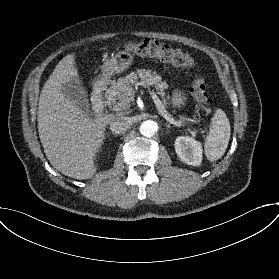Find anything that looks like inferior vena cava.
Instances as JSON below:
<instances>
[{"instance_id": "1", "label": "inferior vena cava", "mask_w": 279, "mask_h": 279, "mask_svg": "<svg viewBox=\"0 0 279 279\" xmlns=\"http://www.w3.org/2000/svg\"><path fill=\"white\" fill-rule=\"evenodd\" d=\"M109 125L112 133L123 134L130 127V120L128 117L118 115L114 117V119L109 123Z\"/></svg>"}]
</instances>
